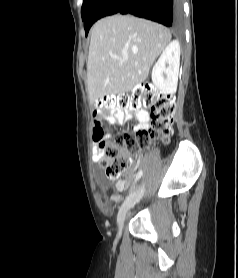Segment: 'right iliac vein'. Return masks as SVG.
<instances>
[{
	"label": "right iliac vein",
	"mask_w": 238,
	"mask_h": 278,
	"mask_svg": "<svg viewBox=\"0 0 238 278\" xmlns=\"http://www.w3.org/2000/svg\"><path fill=\"white\" fill-rule=\"evenodd\" d=\"M146 189H148V186H138V189L132 191L126 201L123 203L118 216L119 234H121L123 231L128 211L135 205L136 202H141V199H138L137 195H147Z\"/></svg>",
	"instance_id": "63e3f726"
}]
</instances>
